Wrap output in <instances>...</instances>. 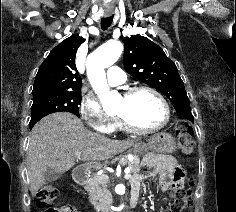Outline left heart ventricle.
Masks as SVG:
<instances>
[{"instance_id": "1", "label": "left heart ventricle", "mask_w": 236, "mask_h": 212, "mask_svg": "<svg viewBox=\"0 0 236 212\" xmlns=\"http://www.w3.org/2000/svg\"><path fill=\"white\" fill-rule=\"evenodd\" d=\"M116 114L125 116L140 128L156 127L165 118V110L160 100L146 91H140L130 98L121 97Z\"/></svg>"}]
</instances>
